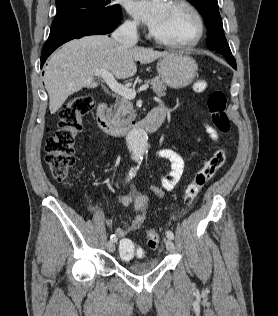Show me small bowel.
Returning a JSON list of instances; mask_svg holds the SVG:
<instances>
[{"instance_id": "c3829d8e", "label": "small bowel", "mask_w": 278, "mask_h": 316, "mask_svg": "<svg viewBox=\"0 0 278 316\" xmlns=\"http://www.w3.org/2000/svg\"><path fill=\"white\" fill-rule=\"evenodd\" d=\"M205 129L210 137L217 141L219 139V133L210 125L205 124ZM155 156L161 159H165L170 163L169 172L162 179V188L156 186H150V190L158 196H162L165 191L173 190L180 181L185 164L181 155L171 148H160L156 151ZM120 202L123 206L132 205L135 210V216L127 228H117L115 230V236L121 239L130 233L137 231L141 228L146 219L148 211L149 197L145 194L139 193L136 190H132L128 194L121 197ZM106 223L111 226L113 220L107 218Z\"/></svg>"}]
</instances>
